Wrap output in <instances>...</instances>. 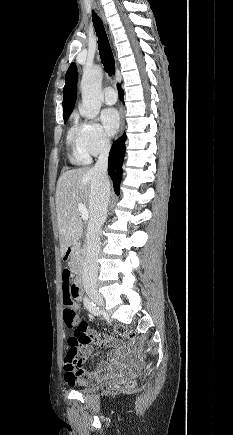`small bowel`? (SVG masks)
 <instances>
[{
  "mask_svg": "<svg viewBox=\"0 0 233 435\" xmlns=\"http://www.w3.org/2000/svg\"><path fill=\"white\" fill-rule=\"evenodd\" d=\"M61 288L63 293L72 295V285L70 282L65 284L61 279ZM74 335L82 338V341H80L78 345V350H81L85 356L90 354V347L95 344L110 349L109 358L111 362L109 364L103 363L101 369L96 372H89L84 369L83 362L76 364L67 362L66 359H64L62 364V376L63 380L70 385L75 383L78 385L94 384L102 376L110 372H117V374L123 378H134L144 369L145 363L141 359L132 358L130 359V363L126 366L118 363L119 359L141 351L139 341L132 340L125 350L120 343L109 335L90 332L89 322L84 319L79 320Z\"/></svg>",
  "mask_w": 233,
  "mask_h": 435,
  "instance_id": "c3829d8e",
  "label": "small bowel"
}]
</instances>
